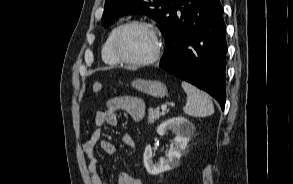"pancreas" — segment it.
Instances as JSON below:
<instances>
[{
  "mask_svg": "<svg viewBox=\"0 0 293 184\" xmlns=\"http://www.w3.org/2000/svg\"><path fill=\"white\" fill-rule=\"evenodd\" d=\"M149 116H148V123L152 124L154 123L161 115H164L163 113L160 112L158 108L153 109L150 108L148 110Z\"/></svg>",
  "mask_w": 293,
  "mask_h": 184,
  "instance_id": "cf45deb5",
  "label": "pancreas"
}]
</instances>
